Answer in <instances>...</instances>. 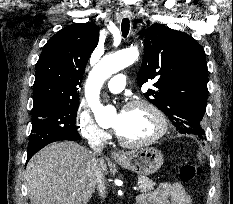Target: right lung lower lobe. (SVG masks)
Here are the masks:
<instances>
[{
  "label": "right lung lower lobe",
  "mask_w": 233,
  "mask_h": 204,
  "mask_svg": "<svg viewBox=\"0 0 233 204\" xmlns=\"http://www.w3.org/2000/svg\"><path fill=\"white\" fill-rule=\"evenodd\" d=\"M62 140H78V139H62ZM39 151V150H38ZM37 151L36 150H33V151H28V154H27V162L30 160V158L36 153Z\"/></svg>",
  "instance_id": "obj_1"
}]
</instances>
